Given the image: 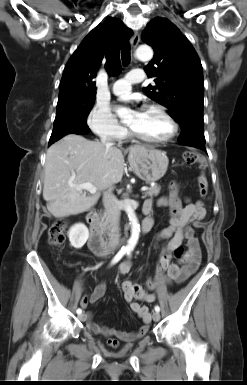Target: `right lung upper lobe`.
<instances>
[{"mask_svg":"<svg viewBox=\"0 0 247 385\" xmlns=\"http://www.w3.org/2000/svg\"><path fill=\"white\" fill-rule=\"evenodd\" d=\"M132 31L118 18L109 17L94 28L68 60L60 83L59 95H96L93 78L102 61L109 74L121 70L119 50Z\"/></svg>","mask_w":247,"mask_h":385,"instance_id":"right-lung-upper-lobe-1","label":"right lung upper lobe"}]
</instances>
